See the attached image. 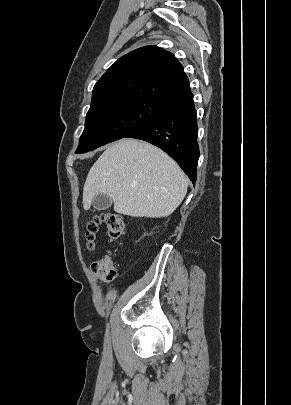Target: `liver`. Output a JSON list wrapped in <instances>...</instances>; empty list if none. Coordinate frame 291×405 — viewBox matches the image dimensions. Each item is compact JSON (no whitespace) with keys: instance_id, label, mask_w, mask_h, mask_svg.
Wrapping results in <instances>:
<instances>
[{"instance_id":"obj_1","label":"liver","mask_w":291,"mask_h":405,"mask_svg":"<svg viewBox=\"0 0 291 405\" xmlns=\"http://www.w3.org/2000/svg\"><path fill=\"white\" fill-rule=\"evenodd\" d=\"M188 182L178 164L159 148L136 139H121L102 153L83 188V207L107 195L114 211L132 217L169 216L183 201Z\"/></svg>"}]
</instances>
